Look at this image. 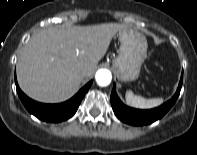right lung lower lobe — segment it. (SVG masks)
I'll return each mask as SVG.
<instances>
[{"label": "right lung lower lobe", "mask_w": 197, "mask_h": 155, "mask_svg": "<svg viewBox=\"0 0 197 155\" xmlns=\"http://www.w3.org/2000/svg\"><path fill=\"white\" fill-rule=\"evenodd\" d=\"M17 93L25 108L38 119L46 122H62L72 117L77 111L83 97L89 90L92 81L88 82L80 91L66 102L59 104H43L27 97L19 88L15 79Z\"/></svg>", "instance_id": "98d812e1"}]
</instances>
